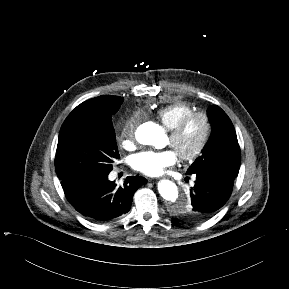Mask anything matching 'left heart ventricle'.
I'll list each match as a JSON object with an SVG mask.
<instances>
[{"mask_svg": "<svg viewBox=\"0 0 289 289\" xmlns=\"http://www.w3.org/2000/svg\"><path fill=\"white\" fill-rule=\"evenodd\" d=\"M204 126L200 118L192 119L184 128L181 135L173 141L169 137V144L179 153H189L196 148L203 135Z\"/></svg>", "mask_w": 289, "mask_h": 289, "instance_id": "obj_1", "label": "left heart ventricle"}]
</instances>
